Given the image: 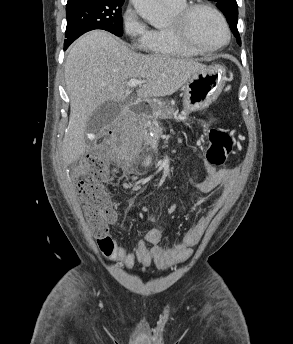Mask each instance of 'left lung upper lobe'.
<instances>
[{
	"label": "left lung upper lobe",
	"mask_w": 293,
	"mask_h": 344,
	"mask_svg": "<svg viewBox=\"0 0 293 344\" xmlns=\"http://www.w3.org/2000/svg\"><path fill=\"white\" fill-rule=\"evenodd\" d=\"M211 1H215L217 3L216 6L226 16L234 36L236 37L238 43L241 44L240 35L237 29L238 5H237L236 0H211Z\"/></svg>",
	"instance_id": "1"
}]
</instances>
